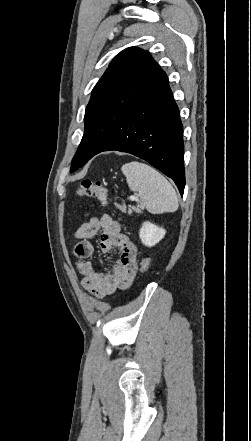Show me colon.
Listing matches in <instances>:
<instances>
[{"label":"colon","mask_w":251,"mask_h":441,"mask_svg":"<svg viewBox=\"0 0 251 441\" xmlns=\"http://www.w3.org/2000/svg\"><path fill=\"white\" fill-rule=\"evenodd\" d=\"M77 194L79 196H86L94 198L101 205L107 204L108 194L107 189L100 181H93L90 179H84L81 181ZM150 261L148 258H144L140 263V270L146 272L149 268Z\"/></svg>","instance_id":"5ec220e1"}]
</instances>
